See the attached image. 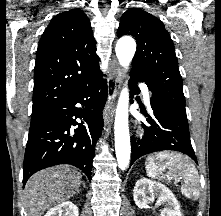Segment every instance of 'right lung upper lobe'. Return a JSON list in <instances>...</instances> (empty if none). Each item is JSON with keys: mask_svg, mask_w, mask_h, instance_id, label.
<instances>
[{"mask_svg": "<svg viewBox=\"0 0 221 216\" xmlns=\"http://www.w3.org/2000/svg\"><path fill=\"white\" fill-rule=\"evenodd\" d=\"M90 21L80 9L56 15L36 53L32 115L80 92L102 76Z\"/></svg>", "mask_w": 221, "mask_h": 216, "instance_id": "1", "label": "right lung upper lobe"}]
</instances>
